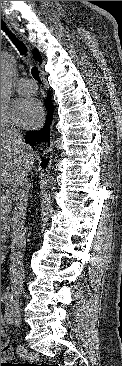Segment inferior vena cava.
I'll use <instances>...</instances> for the list:
<instances>
[{"mask_svg":"<svg viewBox=\"0 0 122 366\" xmlns=\"http://www.w3.org/2000/svg\"><path fill=\"white\" fill-rule=\"evenodd\" d=\"M6 137L8 138V143L17 146L21 152L25 154V164L26 167L29 166V157L31 159V154L28 153L29 146L23 141L20 133L17 130H8L6 131ZM31 187L29 174L24 172L22 178L13 188V193L15 194V207L12 212V217L9 220V227L11 229L10 279L12 282L11 290L14 295H18L22 291V258L26 246L25 217Z\"/></svg>","mask_w":122,"mask_h":366,"instance_id":"1","label":"inferior vena cava"}]
</instances>
